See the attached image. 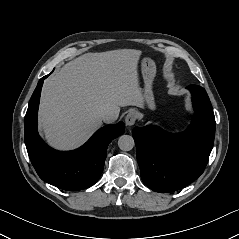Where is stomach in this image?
<instances>
[{"instance_id": "0dacf381", "label": "stomach", "mask_w": 239, "mask_h": 239, "mask_svg": "<svg viewBox=\"0 0 239 239\" xmlns=\"http://www.w3.org/2000/svg\"><path fill=\"white\" fill-rule=\"evenodd\" d=\"M141 67L144 80V103L148 109L154 110L156 108V105L153 93V81L156 75V66L152 59L144 58L142 60Z\"/></svg>"}]
</instances>
